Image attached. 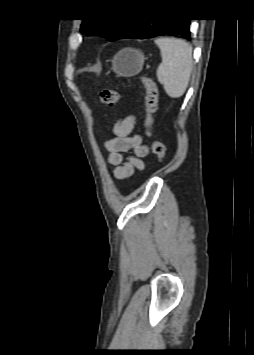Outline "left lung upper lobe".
<instances>
[{
    "label": "left lung upper lobe",
    "mask_w": 254,
    "mask_h": 355,
    "mask_svg": "<svg viewBox=\"0 0 254 355\" xmlns=\"http://www.w3.org/2000/svg\"><path fill=\"white\" fill-rule=\"evenodd\" d=\"M130 21L131 18L84 20L81 25V32L84 34L100 35L109 41H113L123 33Z\"/></svg>",
    "instance_id": "obj_1"
}]
</instances>
